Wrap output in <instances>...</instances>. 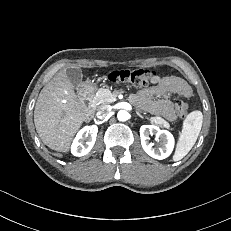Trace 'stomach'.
Masks as SVG:
<instances>
[{
	"label": "stomach",
	"instance_id": "obj_1",
	"mask_svg": "<svg viewBox=\"0 0 231 231\" xmlns=\"http://www.w3.org/2000/svg\"><path fill=\"white\" fill-rule=\"evenodd\" d=\"M87 84H88L89 86H92L94 83H93L92 81H87Z\"/></svg>",
	"mask_w": 231,
	"mask_h": 231
}]
</instances>
